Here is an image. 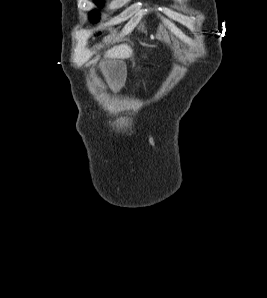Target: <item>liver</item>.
Wrapping results in <instances>:
<instances>
[{"label": "liver", "mask_w": 267, "mask_h": 298, "mask_svg": "<svg viewBox=\"0 0 267 298\" xmlns=\"http://www.w3.org/2000/svg\"><path fill=\"white\" fill-rule=\"evenodd\" d=\"M133 54V50L127 44L115 46L105 53V58L110 59H127Z\"/></svg>", "instance_id": "1"}]
</instances>
